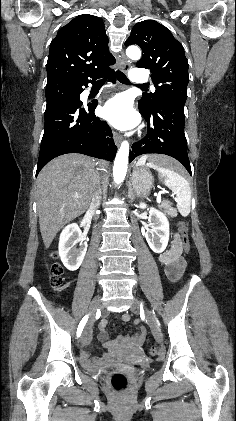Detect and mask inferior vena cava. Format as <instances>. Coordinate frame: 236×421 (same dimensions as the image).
Masks as SVG:
<instances>
[{"instance_id":"1","label":"inferior vena cava","mask_w":236,"mask_h":421,"mask_svg":"<svg viewBox=\"0 0 236 421\" xmlns=\"http://www.w3.org/2000/svg\"><path fill=\"white\" fill-rule=\"evenodd\" d=\"M96 178H97V184H95V188L93 190V194H92V198H91V202H90V211H97V208H99L101 202V188H100V174L99 172H97L96 170V174H95Z\"/></svg>"}]
</instances>
